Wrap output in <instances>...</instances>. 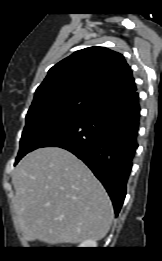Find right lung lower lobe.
I'll return each instance as SVG.
<instances>
[{"label":"right lung lower lobe","mask_w":162,"mask_h":261,"mask_svg":"<svg viewBox=\"0 0 162 261\" xmlns=\"http://www.w3.org/2000/svg\"><path fill=\"white\" fill-rule=\"evenodd\" d=\"M139 117V96L135 90L110 98L66 122L35 149L56 146L76 155L102 182L118 215L138 147Z\"/></svg>","instance_id":"obj_1"}]
</instances>
